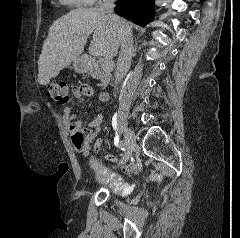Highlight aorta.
<instances>
[{"label":"aorta","instance_id":"1","mask_svg":"<svg viewBox=\"0 0 240 238\" xmlns=\"http://www.w3.org/2000/svg\"><path fill=\"white\" fill-rule=\"evenodd\" d=\"M165 0H157L156 4H162Z\"/></svg>","mask_w":240,"mask_h":238}]
</instances>
